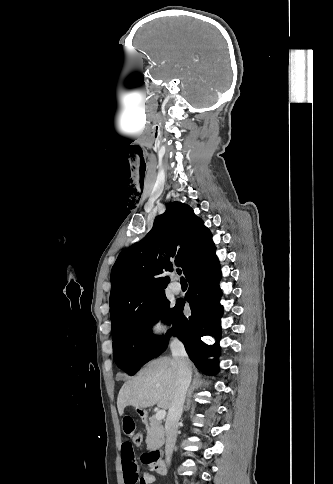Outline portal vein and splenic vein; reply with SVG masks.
I'll return each instance as SVG.
<instances>
[{
    "label": "portal vein and splenic vein",
    "mask_w": 333,
    "mask_h": 484,
    "mask_svg": "<svg viewBox=\"0 0 333 484\" xmlns=\"http://www.w3.org/2000/svg\"><path fill=\"white\" fill-rule=\"evenodd\" d=\"M165 416H166V411L164 409H162V410L157 411L155 418L160 421V420L164 419Z\"/></svg>",
    "instance_id": "obj_1"
}]
</instances>
